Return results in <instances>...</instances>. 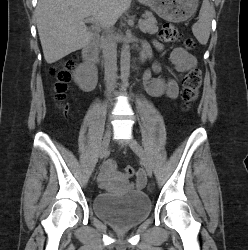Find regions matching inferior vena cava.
<instances>
[{
  "label": "inferior vena cava",
  "instance_id": "obj_1",
  "mask_svg": "<svg viewBox=\"0 0 248 250\" xmlns=\"http://www.w3.org/2000/svg\"><path fill=\"white\" fill-rule=\"evenodd\" d=\"M116 20H110L107 27L110 28ZM116 37L110 33L103 43V57L105 68V80L108 97L111 96L115 89L117 79V51Z\"/></svg>",
  "mask_w": 248,
  "mask_h": 250
}]
</instances>
